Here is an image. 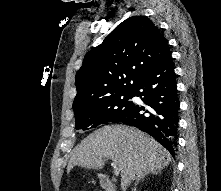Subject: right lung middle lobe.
Instances as JSON below:
<instances>
[{"label": "right lung middle lobe", "instance_id": "obj_1", "mask_svg": "<svg viewBox=\"0 0 221 191\" xmlns=\"http://www.w3.org/2000/svg\"><path fill=\"white\" fill-rule=\"evenodd\" d=\"M133 91L102 100L75 113L76 129L88 130L100 124L119 122L131 109Z\"/></svg>", "mask_w": 221, "mask_h": 191}]
</instances>
